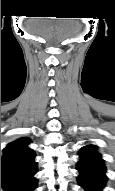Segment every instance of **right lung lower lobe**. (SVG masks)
Masks as SVG:
<instances>
[{
	"label": "right lung lower lobe",
	"instance_id": "right-lung-lower-lobe-1",
	"mask_svg": "<svg viewBox=\"0 0 115 191\" xmlns=\"http://www.w3.org/2000/svg\"><path fill=\"white\" fill-rule=\"evenodd\" d=\"M36 172L37 168L25 173L1 175V188L3 191H34L37 185L34 177Z\"/></svg>",
	"mask_w": 115,
	"mask_h": 191
}]
</instances>
